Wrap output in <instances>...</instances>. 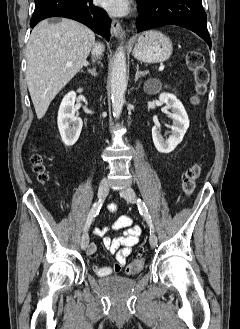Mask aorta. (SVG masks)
Instances as JSON below:
<instances>
[{"label":"aorta","mask_w":240,"mask_h":329,"mask_svg":"<svg viewBox=\"0 0 240 329\" xmlns=\"http://www.w3.org/2000/svg\"><path fill=\"white\" fill-rule=\"evenodd\" d=\"M127 87L126 57L124 48L119 46L114 57L111 72V99L114 118L118 119L125 103Z\"/></svg>","instance_id":"1"}]
</instances>
